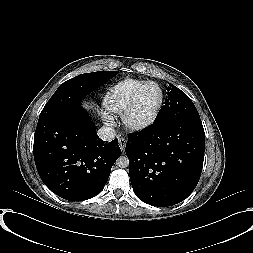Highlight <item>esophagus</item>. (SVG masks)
<instances>
[{
    "mask_svg": "<svg viewBox=\"0 0 253 253\" xmlns=\"http://www.w3.org/2000/svg\"><path fill=\"white\" fill-rule=\"evenodd\" d=\"M118 140H119V147L121 151L124 152L126 147V139L124 137L119 136Z\"/></svg>",
    "mask_w": 253,
    "mask_h": 253,
    "instance_id": "obj_1",
    "label": "esophagus"
}]
</instances>
